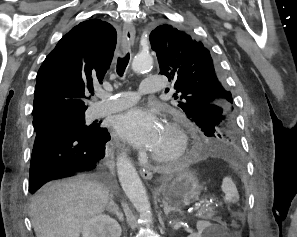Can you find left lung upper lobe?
<instances>
[{"label": "left lung upper lobe", "mask_w": 297, "mask_h": 237, "mask_svg": "<svg viewBox=\"0 0 297 237\" xmlns=\"http://www.w3.org/2000/svg\"><path fill=\"white\" fill-rule=\"evenodd\" d=\"M160 73L168 77L177 93L178 106L209 139L222 141L237 152L239 140L231 92L207 45L171 25H160L150 33Z\"/></svg>", "instance_id": "5c2ea615"}]
</instances>
